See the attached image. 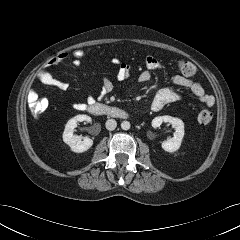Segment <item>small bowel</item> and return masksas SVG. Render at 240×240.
<instances>
[{
	"instance_id": "1",
	"label": "small bowel",
	"mask_w": 240,
	"mask_h": 240,
	"mask_svg": "<svg viewBox=\"0 0 240 240\" xmlns=\"http://www.w3.org/2000/svg\"><path fill=\"white\" fill-rule=\"evenodd\" d=\"M66 60L65 53H60L54 56L48 61V64L45 68L41 69L37 78L39 81L47 86H52L61 90L68 88V83L60 79L55 78L49 71L48 67L58 65L61 62ZM112 65L117 67L116 79L119 82L127 80L130 76V66L127 63L121 62L117 59L111 61ZM162 68V64L153 56H147L145 58V70H143L139 76L138 80L140 82H148L151 78V72L157 71ZM172 86L165 87L160 89L154 96L151 109L155 112L161 111L167 104L175 102L181 98L180 88L189 89L190 92L196 96L205 106L211 107L215 103L213 96L207 94L198 82L193 81L189 76L186 75H175L172 77ZM115 88V84L112 80L105 77L101 81V91L99 94V99L104 98L106 95L111 93ZM28 101H33L38 99V94L34 89H31L28 93ZM95 99L90 96L87 98V101L84 102H75L73 107L76 110L82 111L87 109V107L94 103Z\"/></svg>"
}]
</instances>
